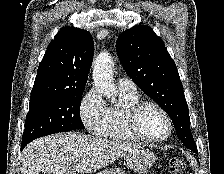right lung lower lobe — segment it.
Wrapping results in <instances>:
<instances>
[{"label":"right lung lower lobe","instance_id":"1","mask_svg":"<svg viewBox=\"0 0 224 174\" xmlns=\"http://www.w3.org/2000/svg\"><path fill=\"white\" fill-rule=\"evenodd\" d=\"M28 143H22V148H24Z\"/></svg>","mask_w":224,"mask_h":174}]
</instances>
